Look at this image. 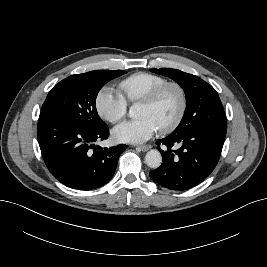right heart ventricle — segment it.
Masks as SVG:
<instances>
[{"label":"right heart ventricle","mask_w":267,"mask_h":267,"mask_svg":"<svg viewBox=\"0 0 267 267\" xmlns=\"http://www.w3.org/2000/svg\"><path fill=\"white\" fill-rule=\"evenodd\" d=\"M164 82L166 79L160 75L137 72L121 80L118 89L126 102L134 103L140 101L151 90Z\"/></svg>","instance_id":"e07e8e85"}]
</instances>
